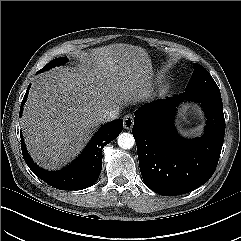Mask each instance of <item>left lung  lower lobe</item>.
Wrapping results in <instances>:
<instances>
[{
	"label": "left lung lower lobe",
	"instance_id": "left-lung-lower-lobe-1",
	"mask_svg": "<svg viewBox=\"0 0 241 241\" xmlns=\"http://www.w3.org/2000/svg\"><path fill=\"white\" fill-rule=\"evenodd\" d=\"M182 100L201 103L206 112L204 135L182 139L173 124ZM133 136L144 183L164 196L188 193L213 175L223 145L225 119L220 91L192 90L145 104L134 113Z\"/></svg>",
	"mask_w": 241,
	"mask_h": 241
}]
</instances>
